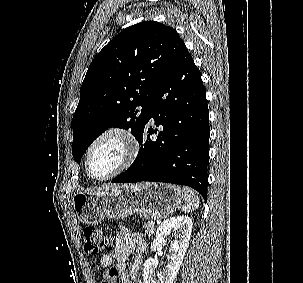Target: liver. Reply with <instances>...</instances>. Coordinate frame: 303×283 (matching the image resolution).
I'll use <instances>...</instances> for the list:
<instances>
[{"instance_id":"6515ba94","label":"liver","mask_w":303,"mask_h":283,"mask_svg":"<svg viewBox=\"0 0 303 283\" xmlns=\"http://www.w3.org/2000/svg\"><path fill=\"white\" fill-rule=\"evenodd\" d=\"M113 186H116V185H110V186L102 187V188L98 189L97 191H101V190H103L104 188L113 187Z\"/></svg>"}]
</instances>
